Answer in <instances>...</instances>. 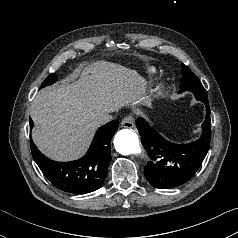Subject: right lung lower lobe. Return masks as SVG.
I'll use <instances>...</instances> for the list:
<instances>
[{
	"label": "right lung lower lobe",
	"instance_id": "right-lung-lower-lobe-1",
	"mask_svg": "<svg viewBox=\"0 0 238 238\" xmlns=\"http://www.w3.org/2000/svg\"><path fill=\"white\" fill-rule=\"evenodd\" d=\"M30 119V130L33 128ZM119 121H111L96 132L89 150L79 160L55 162L45 157L30 140L32 156L46 178L58 189L74 193H90L104 183L111 160L110 144Z\"/></svg>",
	"mask_w": 238,
	"mask_h": 238
}]
</instances>
